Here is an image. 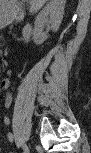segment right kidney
I'll list each match as a JSON object with an SVG mask.
<instances>
[{"instance_id": "ca27d5eb", "label": "right kidney", "mask_w": 91, "mask_h": 153, "mask_svg": "<svg viewBox=\"0 0 91 153\" xmlns=\"http://www.w3.org/2000/svg\"><path fill=\"white\" fill-rule=\"evenodd\" d=\"M65 0H51L35 19L33 39L35 44H42L47 38V33L43 32L46 24L51 25L53 31H57L63 19Z\"/></svg>"}]
</instances>
